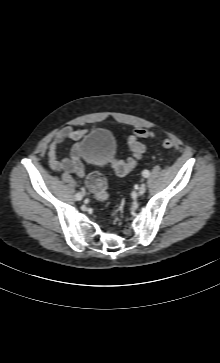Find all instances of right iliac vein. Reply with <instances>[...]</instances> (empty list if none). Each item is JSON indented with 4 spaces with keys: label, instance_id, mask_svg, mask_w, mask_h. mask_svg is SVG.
Instances as JSON below:
<instances>
[{
    "label": "right iliac vein",
    "instance_id": "obj_1",
    "mask_svg": "<svg viewBox=\"0 0 220 363\" xmlns=\"http://www.w3.org/2000/svg\"><path fill=\"white\" fill-rule=\"evenodd\" d=\"M82 194H83V195L85 194V190H83V191H82ZM82 194H81V195H82Z\"/></svg>",
    "mask_w": 220,
    "mask_h": 363
}]
</instances>
